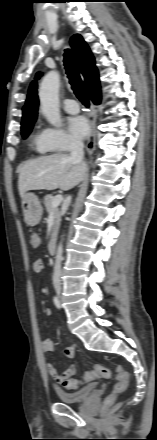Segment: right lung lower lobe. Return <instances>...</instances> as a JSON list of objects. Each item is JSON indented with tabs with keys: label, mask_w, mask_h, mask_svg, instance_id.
Here are the masks:
<instances>
[{
	"label": "right lung lower lobe",
	"mask_w": 157,
	"mask_h": 440,
	"mask_svg": "<svg viewBox=\"0 0 157 440\" xmlns=\"http://www.w3.org/2000/svg\"><path fill=\"white\" fill-rule=\"evenodd\" d=\"M91 99L95 104H99L101 96L99 95V96L91 97Z\"/></svg>",
	"instance_id": "obj_1"
}]
</instances>
